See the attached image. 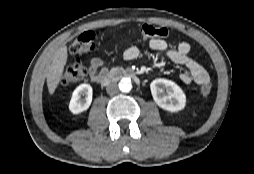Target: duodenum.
<instances>
[{"mask_svg": "<svg viewBox=\"0 0 254 174\" xmlns=\"http://www.w3.org/2000/svg\"><path fill=\"white\" fill-rule=\"evenodd\" d=\"M122 78L131 79L135 83H139L138 77L132 71L119 68L113 69L108 74L101 76L99 82L102 86H107L111 81Z\"/></svg>", "mask_w": 254, "mask_h": 174, "instance_id": "obj_1", "label": "duodenum"}]
</instances>
